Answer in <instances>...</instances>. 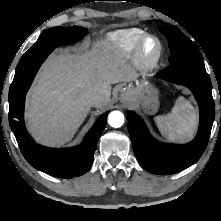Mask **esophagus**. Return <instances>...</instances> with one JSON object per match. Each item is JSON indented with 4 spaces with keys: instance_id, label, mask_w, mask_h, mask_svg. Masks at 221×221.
Wrapping results in <instances>:
<instances>
[{
    "instance_id": "obj_1",
    "label": "esophagus",
    "mask_w": 221,
    "mask_h": 221,
    "mask_svg": "<svg viewBox=\"0 0 221 221\" xmlns=\"http://www.w3.org/2000/svg\"><path fill=\"white\" fill-rule=\"evenodd\" d=\"M126 98H127L126 94H125V93H122V94H121V100L123 101V100H125Z\"/></svg>"
}]
</instances>
